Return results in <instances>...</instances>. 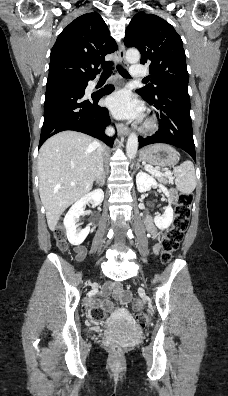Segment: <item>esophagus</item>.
Returning <instances> with one entry per match:
<instances>
[{"label": "esophagus", "mask_w": 228, "mask_h": 396, "mask_svg": "<svg viewBox=\"0 0 228 396\" xmlns=\"http://www.w3.org/2000/svg\"><path fill=\"white\" fill-rule=\"evenodd\" d=\"M118 55H119V61L123 66H128V63L125 59V47L123 44H121L119 51H118ZM117 130L119 132V134L122 135H128L129 134V128L124 125L123 123H118L117 124Z\"/></svg>", "instance_id": "esophagus-1"}]
</instances>
